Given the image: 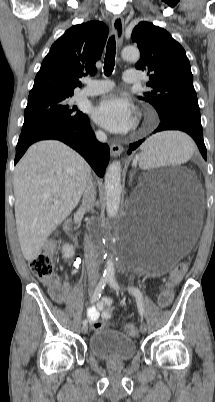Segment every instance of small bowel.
<instances>
[{"label": "small bowel", "instance_id": "obj_1", "mask_svg": "<svg viewBox=\"0 0 215 402\" xmlns=\"http://www.w3.org/2000/svg\"><path fill=\"white\" fill-rule=\"evenodd\" d=\"M64 291H68L69 287L66 284L61 285ZM172 292V290H171ZM110 297L102 298L96 305L90 306L86 310L87 317L91 323H95L101 317L103 320H108L111 315L110 307L112 305Z\"/></svg>", "mask_w": 215, "mask_h": 402}]
</instances>
